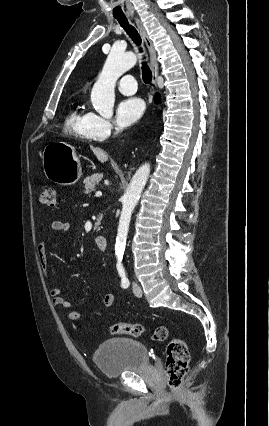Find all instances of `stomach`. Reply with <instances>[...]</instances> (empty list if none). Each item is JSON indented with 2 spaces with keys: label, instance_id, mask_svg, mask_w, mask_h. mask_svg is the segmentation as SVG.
Listing matches in <instances>:
<instances>
[{
  "label": "stomach",
  "instance_id": "stomach-1",
  "mask_svg": "<svg viewBox=\"0 0 269 426\" xmlns=\"http://www.w3.org/2000/svg\"><path fill=\"white\" fill-rule=\"evenodd\" d=\"M42 165L46 178L62 186L74 185L82 175L74 147L62 141H54L44 148Z\"/></svg>",
  "mask_w": 269,
  "mask_h": 426
}]
</instances>
